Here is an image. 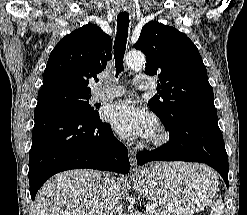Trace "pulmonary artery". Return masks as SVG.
Returning a JSON list of instances; mask_svg holds the SVG:
<instances>
[{
    "mask_svg": "<svg viewBox=\"0 0 247 215\" xmlns=\"http://www.w3.org/2000/svg\"><path fill=\"white\" fill-rule=\"evenodd\" d=\"M136 88L145 90L150 89L153 85V79L147 75H139L134 78ZM124 94L122 86H109L105 83L100 85V88L94 93V101H105Z\"/></svg>",
    "mask_w": 247,
    "mask_h": 215,
    "instance_id": "pulmonary-artery-1",
    "label": "pulmonary artery"
}]
</instances>
